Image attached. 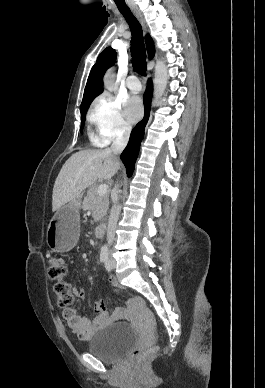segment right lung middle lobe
<instances>
[{
    "label": "right lung middle lobe",
    "instance_id": "obj_1",
    "mask_svg": "<svg viewBox=\"0 0 265 388\" xmlns=\"http://www.w3.org/2000/svg\"><path fill=\"white\" fill-rule=\"evenodd\" d=\"M92 101H93V99L88 101L87 103H85L84 105H82L80 107V111H81V125H82V127H83V124H84V121H85L86 112H87V110H88V108H89V106H90Z\"/></svg>",
    "mask_w": 265,
    "mask_h": 388
}]
</instances>
